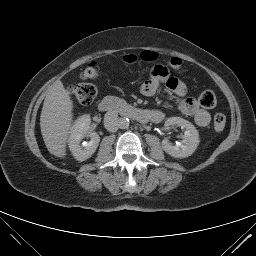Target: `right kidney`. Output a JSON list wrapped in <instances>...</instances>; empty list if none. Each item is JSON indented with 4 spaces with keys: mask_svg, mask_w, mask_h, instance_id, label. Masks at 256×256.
I'll list each match as a JSON object with an SVG mask.
<instances>
[{
    "mask_svg": "<svg viewBox=\"0 0 256 256\" xmlns=\"http://www.w3.org/2000/svg\"><path fill=\"white\" fill-rule=\"evenodd\" d=\"M90 124V116L83 115L74 122L70 131L68 140L70 151L75 159L81 162L94 154L100 142L99 135L96 132L90 131ZM86 136L90 137V141L82 142Z\"/></svg>",
    "mask_w": 256,
    "mask_h": 256,
    "instance_id": "obj_1",
    "label": "right kidney"
}]
</instances>
